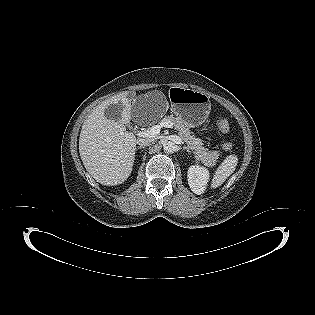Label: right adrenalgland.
Instances as JSON below:
<instances>
[{"label":"right adrenal gland","instance_id":"right-adrenal-gland-1","mask_svg":"<svg viewBox=\"0 0 315 315\" xmlns=\"http://www.w3.org/2000/svg\"><path fill=\"white\" fill-rule=\"evenodd\" d=\"M142 148H144V147L143 146L137 147V149H142Z\"/></svg>","mask_w":315,"mask_h":315}]
</instances>
